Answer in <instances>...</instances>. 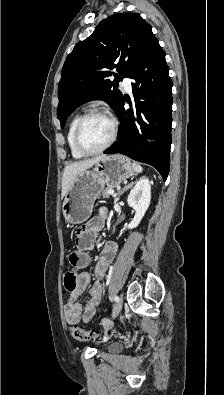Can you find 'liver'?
Returning a JSON list of instances; mask_svg holds the SVG:
<instances>
[{"label":"liver","mask_w":224,"mask_h":395,"mask_svg":"<svg viewBox=\"0 0 224 395\" xmlns=\"http://www.w3.org/2000/svg\"><path fill=\"white\" fill-rule=\"evenodd\" d=\"M103 157H105V155H100V156H97V157H94L91 159L77 161V162H74V163L66 166L64 169L63 178H62L61 197L63 198L67 194L73 181L75 180V177L80 172L92 167L94 164H96L98 161H100Z\"/></svg>","instance_id":"obj_1"}]
</instances>
